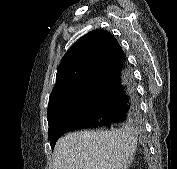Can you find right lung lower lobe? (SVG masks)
I'll return each mask as SVG.
<instances>
[{
	"label": "right lung lower lobe",
	"instance_id": "98d812e1",
	"mask_svg": "<svg viewBox=\"0 0 177 169\" xmlns=\"http://www.w3.org/2000/svg\"><path fill=\"white\" fill-rule=\"evenodd\" d=\"M89 82L92 88L91 99L81 112L60 122L49 139L52 148L58 138L68 131L110 127L115 123L139 118L134 77L123 52L98 71Z\"/></svg>",
	"mask_w": 177,
	"mask_h": 169
}]
</instances>
